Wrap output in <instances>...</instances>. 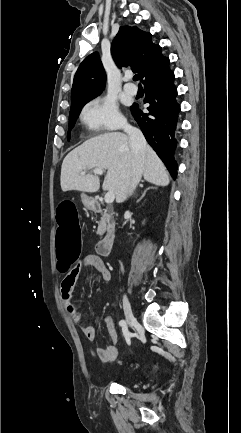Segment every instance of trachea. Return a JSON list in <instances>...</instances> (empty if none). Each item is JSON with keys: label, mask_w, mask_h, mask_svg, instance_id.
<instances>
[{"label": "trachea", "mask_w": 241, "mask_h": 433, "mask_svg": "<svg viewBox=\"0 0 241 433\" xmlns=\"http://www.w3.org/2000/svg\"><path fill=\"white\" fill-rule=\"evenodd\" d=\"M133 79H134L135 81H137V80L139 79V76H138V75H135V76L133 77Z\"/></svg>", "instance_id": "1"}]
</instances>
